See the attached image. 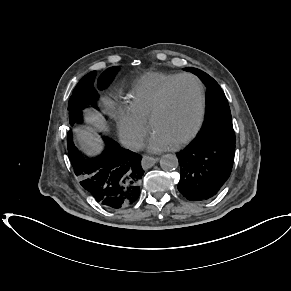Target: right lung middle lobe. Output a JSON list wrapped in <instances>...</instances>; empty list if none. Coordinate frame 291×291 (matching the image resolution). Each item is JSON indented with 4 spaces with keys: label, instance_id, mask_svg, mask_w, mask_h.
<instances>
[{
    "label": "right lung middle lobe",
    "instance_id": "right-lung-middle-lobe-1",
    "mask_svg": "<svg viewBox=\"0 0 291 291\" xmlns=\"http://www.w3.org/2000/svg\"><path fill=\"white\" fill-rule=\"evenodd\" d=\"M118 71L117 67H110L105 70L97 81V87L99 90H103L111 83L114 75ZM96 77V71H92L85 75L75 87L72 96L69 99L68 111H69V123L71 126L81 123L83 116L82 110L86 107L97 108L96 100L98 94L93 86ZM68 145L73 144L72 131L67 134Z\"/></svg>",
    "mask_w": 291,
    "mask_h": 291
}]
</instances>
